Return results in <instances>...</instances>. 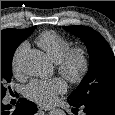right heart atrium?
I'll list each match as a JSON object with an SVG mask.
<instances>
[{"instance_id": "d8ad5b80", "label": "right heart atrium", "mask_w": 115, "mask_h": 115, "mask_svg": "<svg viewBox=\"0 0 115 115\" xmlns=\"http://www.w3.org/2000/svg\"><path fill=\"white\" fill-rule=\"evenodd\" d=\"M28 43H21L13 53L11 60V68L14 75L18 76L22 72V59L26 51L28 50Z\"/></svg>"}]
</instances>
